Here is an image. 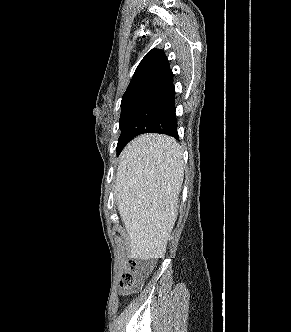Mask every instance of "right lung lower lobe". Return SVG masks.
I'll list each match as a JSON object with an SVG mask.
<instances>
[{
  "label": "right lung lower lobe",
  "instance_id": "1",
  "mask_svg": "<svg viewBox=\"0 0 291 332\" xmlns=\"http://www.w3.org/2000/svg\"><path fill=\"white\" fill-rule=\"evenodd\" d=\"M143 133H162L178 138L173 79L145 96L134 109L119 153L132 138Z\"/></svg>",
  "mask_w": 291,
  "mask_h": 332
}]
</instances>
